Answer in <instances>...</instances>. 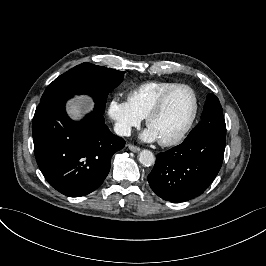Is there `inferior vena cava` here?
<instances>
[{
	"mask_svg": "<svg viewBox=\"0 0 266 266\" xmlns=\"http://www.w3.org/2000/svg\"><path fill=\"white\" fill-rule=\"evenodd\" d=\"M114 132L119 136H131V127L122 123H115Z\"/></svg>",
	"mask_w": 266,
	"mask_h": 266,
	"instance_id": "obj_1",
	"label": "inferior vena cava"
}]
</instances>
